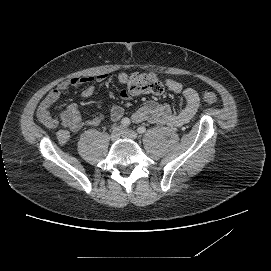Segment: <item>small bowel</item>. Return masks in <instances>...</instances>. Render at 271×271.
Instances as JSON below:
<instances>
[{
    "mask_svg": "<svg viewBox=\"0 0 271 271\" xmlns=\"http://www.w3.org/2000/svg\"><path fill=\"white\" fill-rule=\"evenodd\" d=\"M107 78L108 76L106 74H100L92 77H73L64 80L42 100L38 108V116L47 127L53 128L59 125L63 128V130L58 133L59 142L65 143L70 139L71 133H76L86 126L99 125L104 120V116L101 114L91 115L86 120H83L79 105L77 103H71L66 109L60 112L58 119H55L51 115L50 107L60 98L61 93L69 87H77L85 84L86 87L82 90L81 96L83 98L92 96L95 91L94 83L104 82ZM118 78L122 84H126L128 81V76L125 73H121ZM166 86L170 91L182 95L184 100L183 107L179 111H174L168 104H158L154 101H147L132 115L133 122L181 126L193 118L200 104L198 93L191 88L184 89L181 83L172 79L166 80ZM121 96L124 99L131 98V95L126 89L122 90ZM109 111L111 118L114 120L121 118L124 114L123 108L117 105L109 106Z\"/></svg>",
    "mask_w": 271,
    "mask_h": 271,
    "instance_id": "c3829d8e",
    "label": "small bowel"
}]
</instances>
